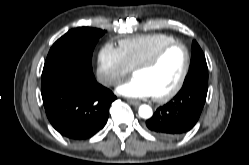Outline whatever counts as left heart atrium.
<instances>
[{"label":"left heart atrium","mask_w":249,"mask_h":165,"mask_svg":"<svg viewBox=\"0 0 249 165\" xmlns=\"http://www.w3.org/2000/svg\"><path fill=\"white\" fill-rule=\"evenodd\" d=\"M117 92L129 98H148L154 96L146 82L136 76L119 85Z\"/></svg>","instance_id":"left-heart-atrium-1"}]
</instances>
